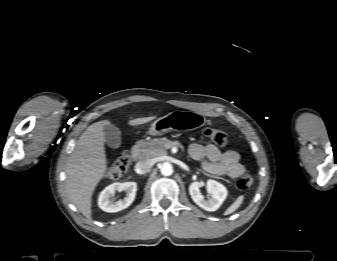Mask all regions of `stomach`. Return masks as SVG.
Wrapping results in <instances>:
<instances>
[{
    "instance_id": "0dacf381",
    "label": "stomach",
    "mask_w": 337,
    "mask_h": 261,
    "mask_svg": "<svg viewBox=\"0 0 337 261\" xmlns=\"http://www.w3.org/2000/svg\"><path fill=\"white\" fill-rule=\"evenodd\" d=\"M206 124V118L194 111H173L157 119L148 130L150 135H163L171 131H192Z\"/></svg>"
}]
</instances>
